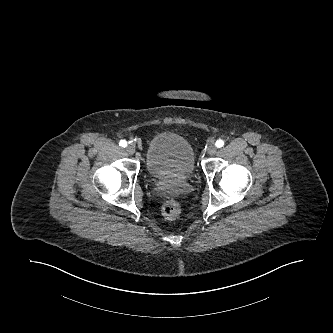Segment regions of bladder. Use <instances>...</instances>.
Segmentation results:
<instances>
[{
  "label": "bladder",
  "instance_id": "31cf9c89",
  "mask_svg": "<svg viewBox=\"0 0 333 333\" xmlns=\"http://www.w3.org/2000/svg\"><path fill=\"white\" fill-rule=\"evenodd\" d=\"M146 168L154 180L189 179L195 170L192 146L179 134L157 133L147 146Z\"/></svg>",
  "mask_w": 333,
  "mask_h": 333
}]
</instances>
